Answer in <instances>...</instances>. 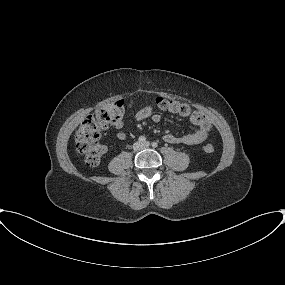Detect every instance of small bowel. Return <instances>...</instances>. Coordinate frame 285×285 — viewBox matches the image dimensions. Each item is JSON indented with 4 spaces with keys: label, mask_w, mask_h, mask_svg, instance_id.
I'll return each instance as SVG.
<instances>
[{
    "label": "small bowel",
    "mask_w": 285,
    "mask_h": 285,
    "mask_svg": "<svg viewBox=\"0 0 285 285\" xmlns=\"http://www.w3.org/2000/svg\"><path fill=\"white\" fill-rule=\"evenodd\" d=\"M137 121H143L150 118L154 123H159L162 119L161 115L154 112L151 106H145L139 109L135 115ZM124 126V120L120 118L114 127L118 130L117 137L121 140L126 139L127 133L122 130ZM210 131V124L206 120L205 124L198 125V130L191 134H185L182 136H175L173 134H165L163 140L170 144H183L187 146H194L202 143L208 137Z\"/></svg>",
    "instance_id": "small-bowel-1"
}]
</instances>
